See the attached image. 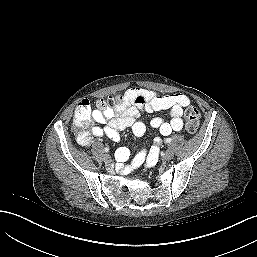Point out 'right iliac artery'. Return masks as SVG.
Instances as JSON below:
<instances>
[{"label": "right iliac artery", "mask_w": 257, "mask_h": 257, "mask_svg": "<svg viewBox=\"0 0 257 257\" xmlns=\"http://www.w3.org/2000/svg\"><path fill=\"white\" fill-rule=\"evenodd\" d=\"M104 151H105V152H109V147H105V148H104Z\"/></svg>", "instance_id": "82829eb1"}]
</instances>
